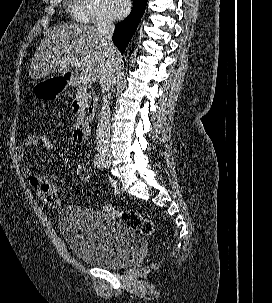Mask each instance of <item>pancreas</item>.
<instances>
[{
	"mask_svg": "<svg viewBox=\"0 0 272 303\" xmlns=\"http://www.w3.org/2000/svg\"><path fill=\"white\" fill-rule=\"evenodd\" d=\"M80 89H81L80 94L83 96V99L85 101H88V99H90V97H91V93L88 91V87L85 85H82L80 87Z\"/></svg>",
	"mask_w": 272,
	"mask_h": 303,
	"instance_id": "pancreas-1",
	"label": "pancreas"
}]
</instances>
